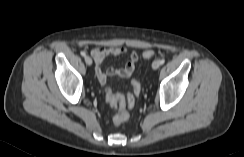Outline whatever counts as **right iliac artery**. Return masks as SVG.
Returning <instances> with one entry per match:
<instances>
[{"instance_id":"1","label":"right iliac artery","mask_w":244,"mask_h":157,"mask_svg":"<svg viewBox=\"0 0 244 157\" xmlns=\"http://www.w3.org/2000/svg\"><path fill=\"white\" fill-rule=\"evenodd\" d=\"M80 54L83 56V57H86V53L84 51H81Z\"/></svg>"}]
</instances>
